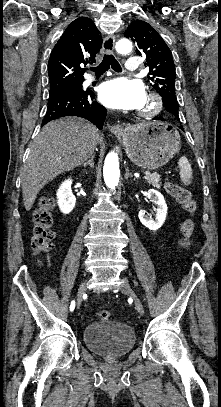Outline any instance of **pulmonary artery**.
I'll return each instance as SVG.
<instances>
[{
  "label": "pulmonary artery",
  "mask_w": 221,
  "mask_h": 407,
  "mask_svg": "<svg viewBox=\"0 0 221 407\" xmlns=\"http://www.w3.org/2000/svg\"><path fill=\"white\" fill-rule=\"evenodd\" d=\"M125 68H126V73L127 74H134L138 70V63L136 58L130 57L126 60L125 62ZM92 79H88L87 82L90 83Z\"/></svg>",
  "instance_id": "e3ab8cb5"
}]
</instances>
